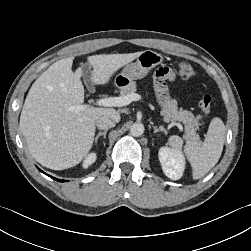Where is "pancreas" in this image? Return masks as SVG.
Returning <instances> with one entry per match:
<instances>
[{"mask_svg": "<svg viewBox=\"0 0 251 251\" xmlns=\"http://www.w3.org/2000/svg\"><path fill=\"white\" fill-rule=\"evenodd\" d=\"M137 90L136 82H130L120 91L121 96L135 93ZM161 116L166 122H182L185 127L184 138L186 140H199L196 130L200 124V117H194L193 113L187 110L178 109L177 101L167 97L162 104Z\"/></svg>", "mask_w": 251, "mask_h": 251, "instance_id": "pancreas-1", "label": "pancreas"}]
</instances>
